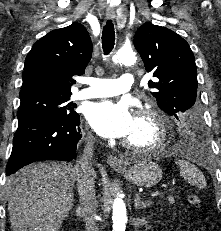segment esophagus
<instances>
[{"label": "esophagus", "mask_w": 221, "mask_h": 231, "mask_svg": "<svg viewBox=\"0 0 221 231\" xmlns=\"http://www.w3.org/2000/svg\"><path fill=\"white\" fill-rule=\"evenodd\" d=\"M106 16L108 19H115V12L114 11H107ZM107 162L112 167H120L121 161L113 155H108Z\"/></svg>", "instance_id": "34e87169"}]
</instances>
